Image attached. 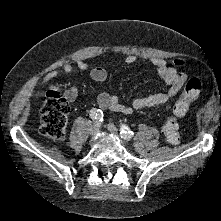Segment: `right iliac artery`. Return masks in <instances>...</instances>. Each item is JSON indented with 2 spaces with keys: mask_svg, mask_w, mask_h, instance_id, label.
<instances>
[{
  "mask_svg": "<svg viewBox=\"0 0 221 221\" xmlns=\"http://www.w3.org/2000/svg\"><path fill=\"white\" fill-rule=\"evenodd\" d=\"M103 116V112L100 109L93 108L90 111V117L97 125H101L104 121Z\"/></svg>",
  "mask_w": 221,
  "mask_h": 221,
  "instance_id": "82829eb1",
  "label": "right iliac artery"
}]
</instances>
